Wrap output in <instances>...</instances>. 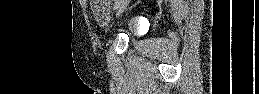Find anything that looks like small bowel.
<instances>
[{
	"label": "small bowel",
	"mask_w": 259,
	"mask_h": 94,
	"mask_svg": "<svg viewBox=\"0 0 259 94\" xmlns=\"http://www.w3.org/2000/svg\"><path fill=\"white\" fill-rule=\"evenodd\" d=\"M99 4H105V5H107L106 3H97V4H95V6H96V5H99Z\"/></svg>",
	"instance_id": "1"
}]
</instances>
